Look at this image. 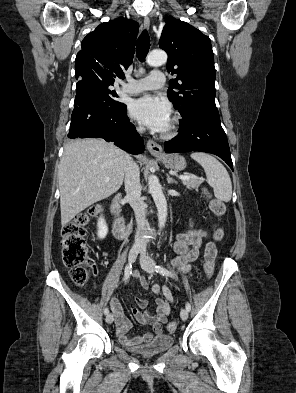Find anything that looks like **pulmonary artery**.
Here are the masks:
<instances>
[{"label":"pulmonary artery","mask_w":296,"mask_h":393,"mask_svg":"<svg viewBox=\"0 0 296 393\" xmlns=\"http://www.w3.org/2000/svg\"><path fill=\"white\" fill-rule=\"evenodd\" d=\"M165 83V76L162 72L153 71L148 76L141 79L127 78V83L122 86V92L126 94H137L146 90H156Z\"/></svg>","instance_id":"1"}]
</instances>
